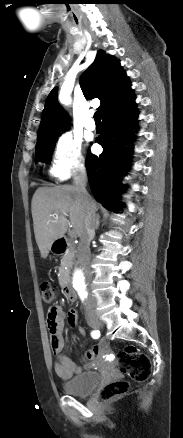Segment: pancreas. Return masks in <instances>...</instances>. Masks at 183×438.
Instances as JSON below:
<instances>
[{
  "instance_id": "cf45deb5",
  "label": "pancreas",
  "mask_w": 183,
  "mask_h": 438,
  "mask_svg": "<svg viewBox=\"0 0 183 438\" xmlns=\"http://www.w3.org/2000/svg\"><path fill=\"white\" fill-rule=\"evenodd\" d=\"M74 257H75V251L71 250L62 258L60 272H59L60 283L62 282L63 274L65 273L64 267H70L74 261Z\"/></svg>"
}]
</instances>
